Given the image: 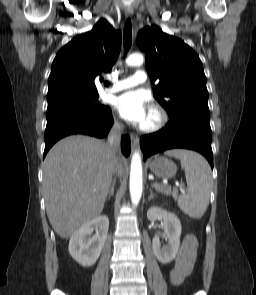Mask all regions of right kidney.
Listing matches in <instances>:
<instances>
[{
    "mask_svg": "<svg viewBox=\"0 0 256 295\" xmlns=\"http://www.w3.org/2000/svg\"><path fill=\"white\" fill-rule=\"evenodd\" d=\"M109 228V219L102 215L83 224L70 238L69 253L71 257L84 267L92 266L98 260ZM96 230V234H91Z\"/></svg>",
    "mask_w": 256,
    "mask_h": 295,
    "instance_id": "1",
    "label": "right kidney"
}]
</instances>
